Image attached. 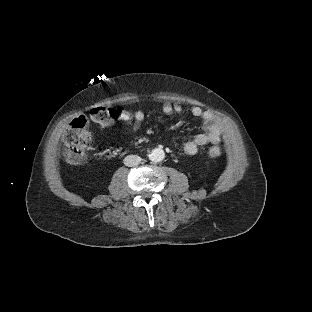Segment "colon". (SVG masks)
Segmentation results:
<instances>
[{
    "label": "colon",
    "mask_w": 312,
    "mask_h": 312,
    "mask_svg": "<svg viewBox=\"0 0 312 312\" xmlns=\"http://www.w3.org/2000/svg\"><path fill=\"white\" fill-rule=\"evenodd\" d=\"M123 113L121 107H95L89 111V117L96 125L106 128L113 125ZM88 121L83 116H76L71 121L64 138V156L71 164L82 163L92 146V137L87 131ZM222 149L219 145H213L209 149L212 156H219Z\"/></svg>",
    "instance_id": "5ec220e1"
}]
</instances>
